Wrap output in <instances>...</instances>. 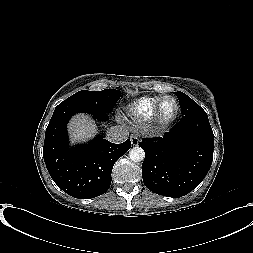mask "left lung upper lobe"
<instances>
[{
  "label": "left lung upper lobe",
  "instance_id": "5c2ea615",
  "mask_svg": "<svg viewBox=\"0 0 253 253\" xmlns=\"http://www.w3.org/2000/svg\"><path fill=\"white\" fill-rule=\"evenodd\" d=\"M174 94L179 99L181 113L183 115L200 113L204 111L194 100H192L183 92H174Z\"/></svg>",
  "mask_w": 253,
  "mask_h": 253
}]
</instances>
